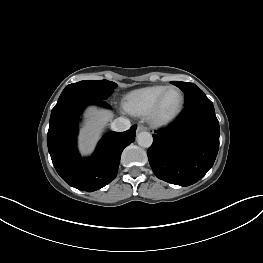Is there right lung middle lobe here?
<instances>
[{
	"instance_id": "right-lung-middle-lobe-1",
	"label": "right lung middle lobe",
	"mask_w": 263,
	"mask_h": 263,
	"mask_svg": "<svg viewBox=\"0 0 263 263\" xmlns=\"http://www.w3.org/2000/svg\"><path fill=\"white\" fill-rule=\"evenodd\" d=\"M116 87V83L108 80L80 81L66 86L58 102L75 96L93 97L105 100L113 93Z\"/></svg>"
}]
</instances>
